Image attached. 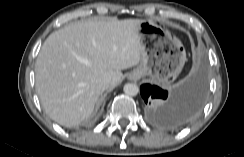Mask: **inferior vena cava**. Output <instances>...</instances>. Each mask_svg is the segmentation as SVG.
<instances>
[{
  "mask_svg": "<svg viewBox=\"0 0 244 157\" xmlns=\"http://www.w3.org/2000/svg\"><path fill=\"white\" fill-rule=\"evenodd\" d=\"M103 82L106 83V84H109L111 82V76L109 74H106L103 77Z\"/></svg>",
  "mask_w": 244,
  "mask_h": 157,
  "instance_id": "inferior-vena-cava-1",
  "label": "inferior vena cava"
}]
</instances>
